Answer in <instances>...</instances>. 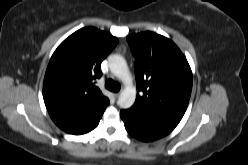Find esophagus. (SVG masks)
Wrapping results in <instances>:
<instances>
[{
	"instance_id": "1",
	"label": "esophagus",
	"mask_w": 248,
	"mask_h": 165,
	"mask_svg": "<svg viewBox=\"0 0 248 165\" xmlns=\"http://www.w3.org/2000/svg\"><path fill=\"white\" fill-rule=\"evenodd\" d=\"M119 95H120V92H117L114 94V97L117 99L119 97Z\"/></svg>"
}]
</instances>
